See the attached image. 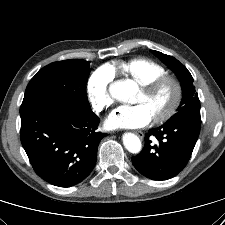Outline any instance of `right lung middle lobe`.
Masks as SVG:
<instances>
[{"mask_svg":"<svg viewBox=\"0 0 225 225\" xmlns=\"http://www.w3.org/2000/svg\"><path fill=\"white\" fill-rule=\"evenodd\" d=\"M90 62L80 59L53 62L42 68L27 85L23 102L49 100L91 111L85 86Z\"/></svg>","mask_w":225,"mask_h":225,"instance_id":"1","label":"right lung middle lobe"}]
</instances>
